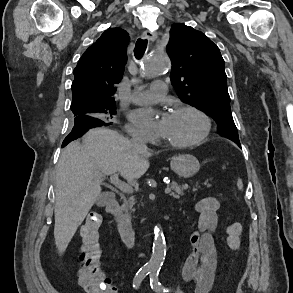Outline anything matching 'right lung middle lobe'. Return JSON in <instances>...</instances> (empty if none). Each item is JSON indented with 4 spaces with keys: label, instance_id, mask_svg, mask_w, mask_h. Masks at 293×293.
<instances>
[{
    "label": "right lung middle lobe",
    "instance_id": "dd1d6c3e",
    "mask_svg": "<svg viewBox=\"0 0 293 293\" xmlns=\"http://www.w3.org/2000/svg\"><path fill=\"white\" fill-rule=\"evenodd\" d=\"M73 114H75L74 109H71ZM91 111L96 112L95 117L102 119L104 121H109L113 118L116 113L115 104H103L101 106L93 108ZM75 116V115H74Z\"/></svg>",
    "mask_w": 293,
    "mask_h": 293
}]
</instances>
